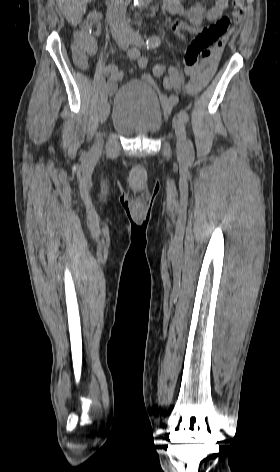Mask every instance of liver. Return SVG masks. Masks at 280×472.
I'll use <instances>...</instances> for the list:
<instances>
[{
	"label": "liver",
	"mask_w": 280,
	"mask_h": 472,
	"mask_svg": "<svg viewBox=\"0 0 280 472\" xmlns=\"http://www.w3.org/2000/svg\"><path fill=\"white\" fill-rule=\"evenodd\" d=\"M59 9L66 20L73 26H77L86 12L87 3L92 0H56Z\"/></svg>",
	"instance_id": "6515ba94"
}]
</instances>
